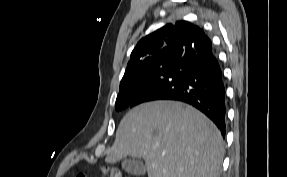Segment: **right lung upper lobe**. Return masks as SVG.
I'll return each instance as SVG.
<instances>
[{
	"instance_id": "1",
	"label": "right lung upper lobe",
	"mask_w": 287,
	"mask_h": 177,
	"mask_svg": "<svg viewBox=\"0 0 287 177\" xmlns=\"http://www.w3.org/2000/svg\"><path fill=\"white\" fill-rule=\"evenodd\" d=\"M187 21L167 24L142 38L131 53L130 61L120 83L145 68L169 56H183L186 47L202 32Z\"/></svg>"
}]
</instances>
